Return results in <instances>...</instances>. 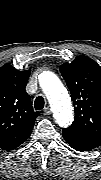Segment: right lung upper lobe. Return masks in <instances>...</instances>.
I'll return each mask as SVG.
<instances>
[{
    "label": "right lung upper lobe",
    "mask_w": 101,
    "mask_h": 180,
    "mask_svg": "<svg viewBox=\"0 0 101 180\" xmlns=\"http://www.w3.org/2000/svg\"><path fill=\"white\" fill-rule=\"evenodd\" d=\"M30 70L19 71L12 65L0 68V147L13 150L26 141L35 119L30 97L25 91Z\"/></svg>",
    "instance_id": "cb5924a9"
}]
</instances>
